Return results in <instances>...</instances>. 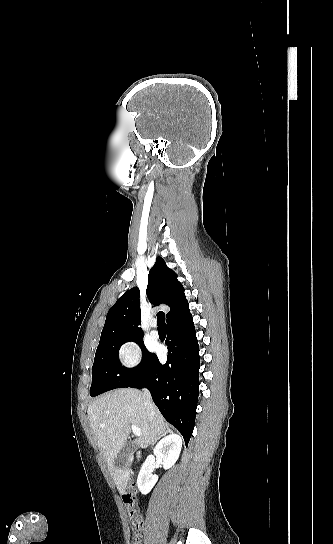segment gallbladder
Returning a JSON list of instances; mask_svg holds the SVG:
<instances>
[{
	"label": "gallbladder",
	"instance_id": "bac80fb5",
	"mask_svg": "<svg viewBox=\"0 0 333 544\" xmlns=\"http://www.w3.org/2000/svg\"><path fill=\"white\" fill-rule=\"evenodd\" d=\"M135 449H136V446L133 443V441L131 440L127 441L123 445V447L121 448V450L119 451L118 455L115 458V461H114L115 466H119L122 468L125 467L128 462V459L131 457Z\"/></svg>",
	"mask_w": 333,
	"mask_h": 544
}]
</instances>
